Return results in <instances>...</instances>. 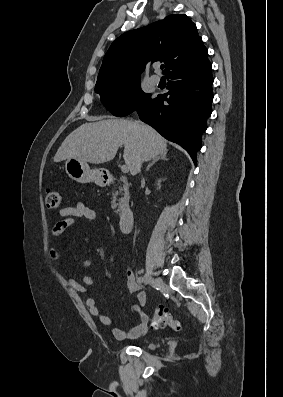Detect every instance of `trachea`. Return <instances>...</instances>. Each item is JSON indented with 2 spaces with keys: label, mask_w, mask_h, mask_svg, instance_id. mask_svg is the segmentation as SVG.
<instances>
[{
  "label": "trachea",
  "mask_w": 283,
  "mask_h": 397,
  "mask_svg": "<svg viewBox=\"0 0 283 397\" xmlns=\"http://www.w3.org/2000/svg\"><path fill=\"white\" fill-rule=\"evenodd\" d=\"M164 68V65H161V69H163Z\"/></svg>",
  "instance_id": "obj_1"
}]
</instances>
